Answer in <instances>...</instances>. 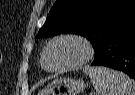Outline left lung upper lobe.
I'll use <instances>...</instances> for the list:
<instances>
[{"instance_id": "obj_1", "label": "left lung upper lobe", "mask_w": 135, "mask_h": 95, "mask_svg": "<svg viewBox=\"0 0 135 95\" xmlns=\"http://www.w3.org/2000/svg\"><path fill=\"white\" fill-rule=\"evenodd\" d=\"M134 20V0H57L36 37L79 34L96 53L109 34Z\"/></svg>"}]
</instances>
